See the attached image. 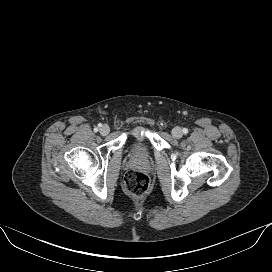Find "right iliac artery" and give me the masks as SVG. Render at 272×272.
I'll use <instances>...</instances> for the list:
<instances>
[{
	"instance_id": "obj_1",
	"label": "right iliac artery",
	"mask_w": 272,
	"mask_h": 272,
	"mask_svg": "<svg viewBox=\"0 0 272 272\" xmlns=\"http://www.w3.org/2000/svg\"><path fill=\"white\" fill-rule=\"evenodd\" d=\"M98 126L101 127V124H99ZM94 130L97 131V128H95Z\"/></svg>"
}]
</instances>
